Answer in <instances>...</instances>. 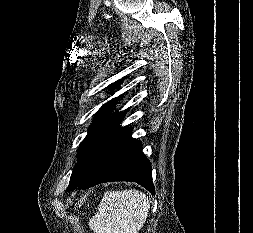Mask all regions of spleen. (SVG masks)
<instances>
[{
    "label": "spleen",
    "mask_w": 253,
    "mask_h": 233,
    "mask_svg": "<svg viewBox=\"0 0 253 233\" xmlns=\"http://www.w3.org/2000/svg\"><path fill=\"white\" fill-rule=\"evenodd\" d=\"M149 209L148 196L139 190L107 191L89 226L96 233H139Z\"/></svg>",
    "instance_id": "1"
}]
</instances>
